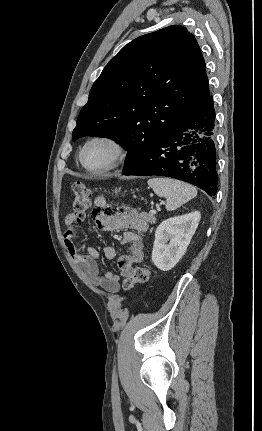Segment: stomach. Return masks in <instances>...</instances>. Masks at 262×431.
Listing matches in <instances>:
<instances>
[{
    "label": "stomach",
    "instance_id": "stomach-1",
    "mask_svg": "<svg viewBox=\"0 0 262 431\" xmlns=\"http://www.w3.org/2000/svg\"><path fill=\"white\" fill-rule=\"evenodd\" d=\"M114 192H115V194H117V193H118V190L116 189Z\"/></svg>",
    "mask_w": 262,
    "mask_h": 431
}]
</instances>
